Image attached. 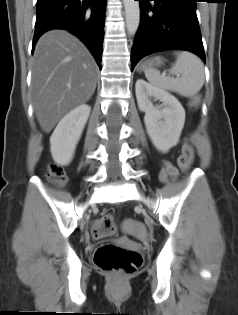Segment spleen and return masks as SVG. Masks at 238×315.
Instances as JSON below:
<instances>
[{"mask_svg":"<svg viewBox=\"0 0 238 315\" xmlns=\"http://www.w3.org/2000/svg\"><path fill=\"white\" fill-rule=\"evenodd\" d=\"M177 59L170 70L177 78L161 75L155 69H145L147 80L156 88L172 91L181 96L190 97L202 88L205 75L204 65L195 54L183 51L176 53Z\"/></svg>","mask_w":238,"mask_h":315,"instance_id":"spleen-1","label":"spleen"}]
</instances>
